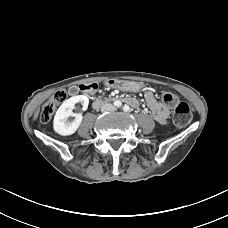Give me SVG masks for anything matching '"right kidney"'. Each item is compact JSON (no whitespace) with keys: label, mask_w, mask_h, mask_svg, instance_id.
Instances as JSON below:
<instances>
[{"label":"right kidney","mask_w":228,"mask_h":228,"mask_svg":"<svg viewBox=\"0 0 228 228\" xmlns=\"http://www.w3.org/2000/svg\"><path fill=\"white\" fill-rule=\"evenodd\" d=\"M81 103L82 110L85 111L88 108L89 99L86 95L73 96L58 108L54 120L53 128L54 131L61 136H69L76 132L82 122V114L74 113L72 110L75 108V104ZM75 117L74 120L70 121L68 118Z\"/></svg>","instance_id":"obj_1"}]
</instances>
